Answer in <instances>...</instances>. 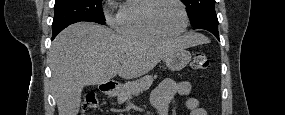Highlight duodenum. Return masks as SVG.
I'll use <instances>...</instances> for the list:
<instances>
[{
  "mask_svg": "<svg viewBox=\"0 0 285 115\" xmlns=\"http://www.w3.org/2000/svg\"><path fill=\"white\" fill-rule=\"evenodd\" d=\"M116 88H117V83L114 82H105L100 86V89L104 94H110Z\"/></svg>",
  "mask_w": 285,
  "mask_h": 115,
  "instance_id": "1",
  "label": "duodenum"
}]
</instances>
